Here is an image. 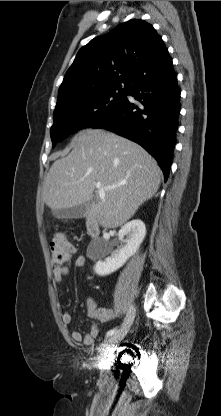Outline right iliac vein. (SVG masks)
<instances>
[{
	"label": "right iliac vein",
	"instance_id": "1",
	"mask_svg": "<svg viewBox=\"0 0 221 416\" xmlns=\"http://www.w3.org/2000/svg\"><path fill=\"white\" fill-rule=\"evenodd\" d=\"M135 311H136L135 307L132 305L127 312L126 318L121 328L112 337L106 340L105 343L103 344L101 351H100L101 355H103L111 345L116 344L119 341L124 339V337L129 331L131 324L133 323V320L135 317Z\"/></svg>",
	"mask_w": 221,
	"mask_h": 416
}]
</instances>
